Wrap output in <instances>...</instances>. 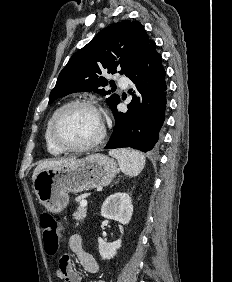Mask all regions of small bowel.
Masks as SVG:
<instances>
[{"label": "small bowel", "mask_w": 232, "mask_h": 282, "mask_svg": "<svg viewBox=\"0 0 232 282\" xmlns=\"http://www.w3.org/2000/svg\"><path fill=\"white\" fill-rule=\"evenodd\" d=\"M68 246L71 253L78 259L82 268L91 274H96L99 271V265L96 259L83 248L82 237L77 233H72L68 236ZM57 277L64 282H81L80 275L73 269L71 259L68 255H64L59 259ZM94 282H105L102 279Z\"/></svg>", "instance_id": "c3829d8e"}]
</instances>
